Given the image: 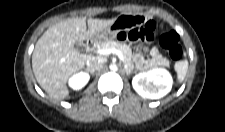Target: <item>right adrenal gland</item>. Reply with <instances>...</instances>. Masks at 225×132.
<instances>
[{
    "label": "right adrenal gland",
    "instance_id": "right-adrenal-gland-1",
    "mask_svg": "<svg viewBox=\"0 0 225 132\" xmlns=\"http://www.w3.org/2000/svg\"><path fill=\"white\" fill-rule=\"evenodd\" d=\"M87 71H89V69L87 68ZM91 73L93 74L94 73V71H91Z\"/></svg>",
    "mask_w": 225,
    "mask_h": 132
}]
</instances>
